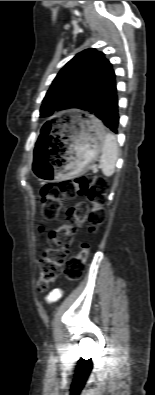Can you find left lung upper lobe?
Wrapping results in <instances>:
<instances>
[{
  "mask_svg": "<svg viewBox=\"0 0 155 395\" xmlns=\"http://www.w3.org/2000/svg\"><path fill=\"white\" fill-rule=\"evenodd\" d=\"M113 71L104 53L94 48L78 53L55 77L43 99L40 114L79 109L81 102Z\"/></svg>",
  "mask_w": 155,
  "mask_h": 395,
  "instance_id": "5c2ea615",
  "label": "left lung upper lobe"
}]
</instances>
